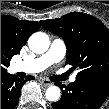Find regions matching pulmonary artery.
I'll return each mask as SVG.
<instances>
[{
  "mask_svg": "<svg viewBox=\"0 0 109 109\" xmlns=\"http://www.w3.org/2000/svg\"><path fill=\"white\" fill-rule=\"evenodd\" d=\"M66 55V46L61 39L53 40L49 50L33 59L17 62L12 66L15 72L25 71L29 73H38L45 70L53 63L60 62ZM76 76L70 77L69 81L74 82Z\"/></svg>",
  "mask_w": 109,
  "mask_h": 109,
  "instance_id": "pulmonary-artery-1",
  "label": "pulmonary artery"
}]
</instances>
